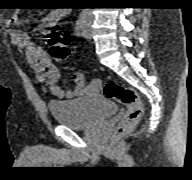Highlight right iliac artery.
Here are the masks:
<instances>
[{
    "instance_id": "right-iliac-artery-1",
    "label": "right iliac artery",
    "mask_w": 192,
    "mask_h": 180,
    "mask_svg": "<svg viewBox=\"0 0 192 180\" xmlns=\"http://www.w3.org/2000/svg\"><path fill=\"white\" fill-rule=\"evenodd\" d=\"M86 20H87V15L86 13H82L78 20L76 21V27H75V34L77 36H82L83 35V31L86 25Z\"/></svg>"
}]
</instances>
